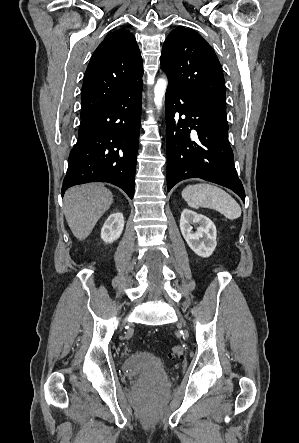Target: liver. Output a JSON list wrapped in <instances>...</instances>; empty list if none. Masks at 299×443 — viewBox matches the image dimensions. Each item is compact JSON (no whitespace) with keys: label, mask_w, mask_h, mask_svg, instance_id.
Here are the masks:
<instances>
[{"label":"liver","mask_w":299,"mask_h":443,"mask_svg":"<svg viewBox=\"0 0 299 443\" xmlns=\"http://www.w3.org/2000/svg\"><path fill=\"white\" fill-rule=\"evenodd\" d=\"M113 202L111 191L102 184L75 186L64 195L66 221L78 240H85Z\"/></svg>","instance_id":"liver-1"}]
</instances>
